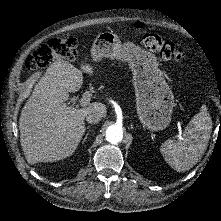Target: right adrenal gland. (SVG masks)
<instances>
[{"mask_svg":"<svg viewBox=\"0 0 221 221\" xmlns=\"http://www.w3.org/2000/svg\"><path fill=\"white\" fill-rule=\"evenodd\" d=\"M88 129V128H87ZM90 131L87 130V133L85 134V136L83 137V140H82V144H84V140L87 138V136L89 135Z\"/></svg>","mask_w":221,"mask_h":221,"instance_id":"obj_1","label":"right adrenal gland"}]
</instances>
